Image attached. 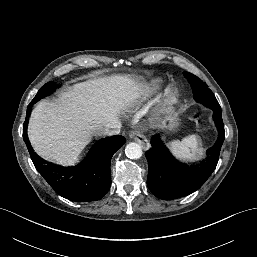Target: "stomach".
<instances>
[{"label": "stomach", "mask_w": 257, "mask_h": 257, "mask_svg": "<svg viewBox=\"0 0 257 257\" xmlns=\"http://www.w3.org/2000/svg\"><path fill=\"white\" fill-rule=\"evenodd\" d=\"M179 125L178 114L173 110L169 109L164 113L162 119V127L166 130L172 131L175 130Z\"/></svg>", "instance_id": "stomach-1"}]
</instances>
